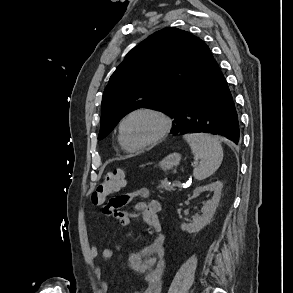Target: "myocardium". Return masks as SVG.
I'll list each match as a JSON object with an SVG mask.
<instances>
[{
  "mask_svg": "<svg viewBox=\"0 0 293 293\" xmlns=\"http://www.w3.org/2000/svg\"><path fill=\"white\" fill-rule=\"evenodd\" d=\"M138 114H148L151 115L153 117H155L159 123H160V128L157 132V134L151 138L150 140L141 143V144H137V145H130L124 136V125L125 123L133 116L138 115ZM171 130V120L169 119V117L164 114L163 112L153 109V108H149V107H141V108H137L132 110L131 112H129L120 122L119 124V128H118V132H119V140L122 144V146L128 150V151H137V150H141L144 148H147L149 146L155 145L157 143H159L161 140H163L168 133Z\"/></svg>",
  "mask_w": 293,
  "mask_h": 293,
  "instance_id": "1",
  "label": "myocardium"
}]
</instances>
